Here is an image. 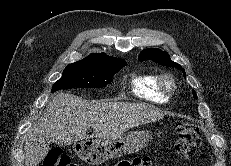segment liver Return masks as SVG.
<instances>
[{
    "instance_id": "liver-1",
    "label": "liver",
    "mask_w": 231,
    "mask_h": 166,
    "mask_svg": "<svg viewBox=\"0 0 231 166\" xmlns=\"http://www.w3.org/2000/svg\"><path fill=\"white\" fill-rule=\"evenodd\" d=\"M162 110L145 103L87 101L60 93L25 136V166H37L50 142L69 145L89 137L116 139L133 127L160 120ZM92 127L93 134H86Z\"/></svg>"
}]
</instances>
